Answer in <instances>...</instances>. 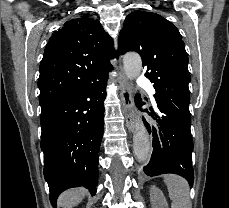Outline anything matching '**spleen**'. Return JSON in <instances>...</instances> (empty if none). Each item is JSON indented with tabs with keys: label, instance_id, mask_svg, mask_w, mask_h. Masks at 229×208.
<instances>
[{
	"label": "spleen",
	"instance_id": "1",
	"mask_svg": "<svg viewBox=\"0 0 229 208\" xmlns=\"http://www.w3.org/2000/svg\"><path fill=\"white\" fill-rule=\"evenodd\" d=\"M164 182L168 188L169 198L173 200L171 208H191L190 188L187 180L181 176L167 174L164 176Z\"/></svg>",
	"mask_w": 229,
	"mask_h": 208
}]
</instances>
